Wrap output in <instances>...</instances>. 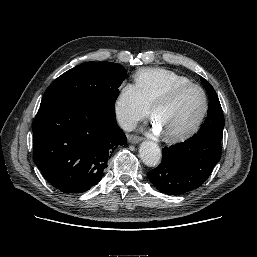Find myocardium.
<instances>
[{
    "label": "myocardium",
    "instance_id": "myocardium-1",
    "mask_svg": "<svg viewBox=\"0 0 257 257\" xmlns=\"http://www.w3.org/2000/svg\"><path fill=\"white\" fill-rule=\"evenodd\" d=\"M188 89H197L200 91L203 98L202 110L196 121L189 128L174 133H165V138L169 141H180L186 139L199 129L204 119L206 118L209 110V99L206 91L200 85L195 83L181 84L173 87L172 89L158 97L151 106V115L153 118H156L155 113L160 106L173 102L182 92Z\"/></svg>",
    "mask_w": 257,
    "mask_h": 257
}]
</instances>
